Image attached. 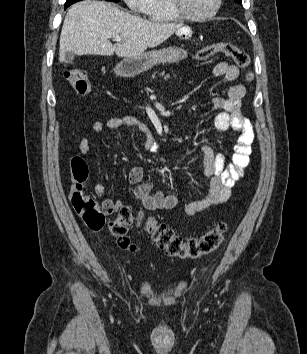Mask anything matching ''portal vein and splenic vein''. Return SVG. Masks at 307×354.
<instances>
[{
	"label": "portal vein and splenic vein",
	"instance_id": "1",
	"mask_svg": "<svg viewBox=\"0 0 307 354\" xmlns=\"http://www.w3.org/2000/svg\"><path fill=\"white\" fill-rule=\"evenodd\" d=\"M113 39H114V41H118V42H120L122 40L120 36H116Z\"/></svg>",
	"mask_w": 307,
	"mask_h": 354
}]
</instances>
